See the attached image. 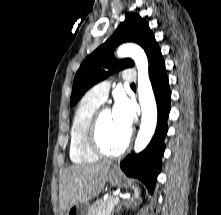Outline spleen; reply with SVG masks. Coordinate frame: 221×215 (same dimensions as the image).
I'll use <instances>...</instances> for the list:
<instances>
[{"label": "spleen", "instance_id": "obj_1", "mask_svg": "<svg viewBox=\"0 0 221 215\" xmlns=\"http://www.w3.org/2000/svg\"><path fill=\"white\" fill-rule=\"evenodd\" d=\"M139 192H140L139 188H138V187H136V189H135V196H136V197H138Z\"/></svg>", "mask_w": 221, "mask_h": 215}]
</instances>
